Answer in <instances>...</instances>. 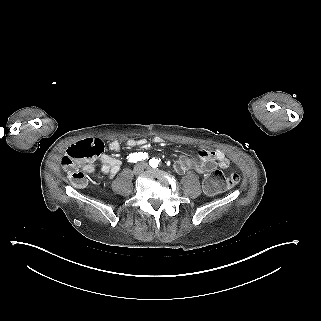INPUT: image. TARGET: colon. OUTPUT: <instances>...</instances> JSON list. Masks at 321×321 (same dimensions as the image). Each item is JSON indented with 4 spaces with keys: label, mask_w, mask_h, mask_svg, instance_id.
Listing matches in <instances>:
<instances>
[{
    "label": "colon",
    "mask_w": 321,
    "mask_h": 321,
    "mask_svg": "<svg viewBox=\"0 0 321 321\" xmlns=\"http://www.w3.org/2000/svg\"><path fill=\"white\" fill-rule=\"evenodd\" d=\"M103 150V146L95 141H81L67 149L61 159V164L67 170L68 178L73 186L83 188L87 183L86 175L75 168L74 162L79 159L97 157L103 153ZM238 182V174L233 173L226 177L220 170H214L204 179L203 188L208 194H217L234 187Z\"/></svg>",
    "instance_id": "5ec220e1"
}]
</instances>
